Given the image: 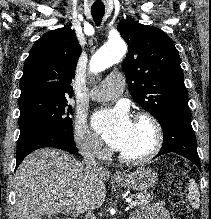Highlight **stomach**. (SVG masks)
<instances>
[{
	"mask_svg": "<svg viewBox=\"0 0 211 219\" xmlns=\"http://www.w3.org/2000/svg\"><path fill=\"white\" fill-rule=\"evenodd\" d=\"M157 178L158 175L154 170L140 167L117 181L124 187L138 191H147L155 185Z\"/></svg>",
	"mask_w": 211,
	"mask_h": 219,
	"instance_id": "0dacf381",
	"label": "stomach"
}]
</instances>
